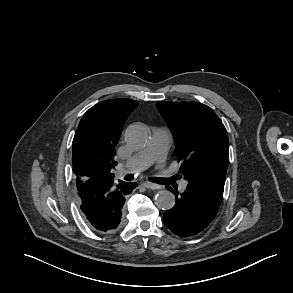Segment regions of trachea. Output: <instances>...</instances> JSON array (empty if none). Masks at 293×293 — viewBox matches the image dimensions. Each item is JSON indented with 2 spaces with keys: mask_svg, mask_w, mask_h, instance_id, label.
Wrapping results in <instances>:
<instances>
[{
  "mask_svg": "<svg viewBox=\"0 0 293 293\" xmlns=\"http://www.w3.org/2000/svg\"><path fill=\"white\" fill-rule=\"evenodd\" d=\"M125 179H126V180H131V179H132V176H131V175H127V176L125 177Z\"/></svg>",
  "mask_w": 293,
  "mask_h": 293,
  "instance_id": "obj_1",
  "label": "trachea"
}]
</instances>
